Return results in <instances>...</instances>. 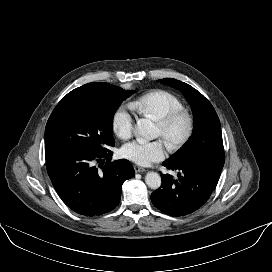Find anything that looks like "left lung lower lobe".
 <instances>
[{
	"label": "left lung lower lobe",
	"instance_id": "0a47b994",
	"mask_svg": "<svg viewBox=\"0 0 272 272\" xmlns=\"http://www.w3.org/2000/svg\"><path fill=\"white\" fill-rule=\"evenodd\" d=\"M163 166L178 172L162 176V185L151 194L155 207L171 216H185L200 209L215 189L222 168L206 165L185 158L179 161H164Z\"/></svg>",
	"mask_w": 272,
	"mask_h": 272
}]
</instances>
